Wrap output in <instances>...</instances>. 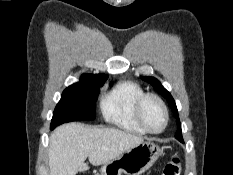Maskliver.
Listing matches in <instances>:
<instances>
[{
    "mask_svg": "<svg viewBox=\"0 0 233 175\" xmlns=\"http://www.w3.org/2000/svg\"><path fill=\"white\" fill-rule=\"evenodd\" d=\"M143 142L141 136L115 129L90 127L81 123H67L50 135V175H76L93 166L118 158L129 148Z\"/></svg>",
    "mask_w": 233,
    "mask_h": 175,
    "instance_id": "6515ba94",
    "label": "liver"
}]
</instances>
